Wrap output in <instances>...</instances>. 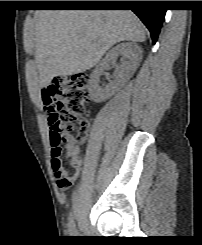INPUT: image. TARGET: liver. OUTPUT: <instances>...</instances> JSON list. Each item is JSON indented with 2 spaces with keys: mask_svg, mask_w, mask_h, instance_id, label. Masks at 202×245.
Wrapping results in <instances>:
<instances>
[{
  "mask_svg": "<svg viewBox=\"0 0 202 245\" xmlns=\"http://www.w3.org/2000/svg\"><path fill=\"white\" fill-rule=\"evenodd\" d=\"M145 40L143 25L130 10H39L25 43L35 51L44 87L56 75L91 69L118 42Z\"/></svg>",
  "mask_w": 202,
  "mask_h": 245,
  "instance_id": "6515ba94",
  "label": "liver"
}]
</instances>
